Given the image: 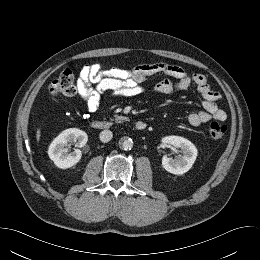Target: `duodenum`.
I'll return each mask as SVG.
<instances>
[{"instance_id":"duodenum-1","label":"duodenum","mask_w":260,"mask_h":260,"mask_svg":"<svg viewBox=\"0 0 260 260\" xmlns=\"http://www.w3.org/2000/svg\"><path fill=\"white\" fill-rule=\"evenodd\" d=\"M91 125L94 129L96 130H106V129H110L113 127V124L109 121H104V120H93L91 122ZM146 123L143 121H138L135 123V128L138 131H143L146 129Z\"/></svg>"}]
</instances>
